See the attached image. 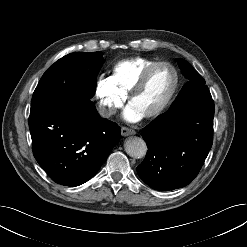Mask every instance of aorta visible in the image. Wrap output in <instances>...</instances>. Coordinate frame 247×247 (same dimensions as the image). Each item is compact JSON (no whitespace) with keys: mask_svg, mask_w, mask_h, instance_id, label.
<instances>
[{"mask_svg":"<svg viewBox=\"0 0 247 247\" xmlns=\"http://www.w3.org/2000/svg\"><path fill=\"white\" fill-rule=\"evenodd\" d=\"M126 153L136 159L146 155L147 146L145 141L140 137H130L124 143Z\"/></svg>","mask_w":247,"mask_h":247,"instance_id":"aorta-1","label":"aorta"}]
</instances>
